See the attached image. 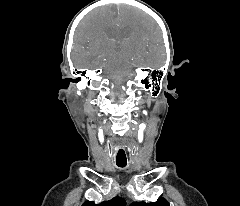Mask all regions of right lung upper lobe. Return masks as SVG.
Masks as SVG:
<instances>
[{"instance_id": "obj_1", "label": "right lung upper lobe", "mask_w": 240, "mask_h": 206, "mask_svg": "<svg viewBox=\"0 0 240 206\" xmlns=\"http://www.w3.org/2000/svg\"><path fill=\"white\" fill-rule=\"evenodd\" d=\"M126 202L121 197H115L109 201H104L99 205L95 204L93 201H86L82 204V206H125Z\"/></svg>"}]
</instances>
